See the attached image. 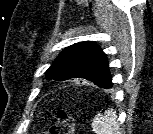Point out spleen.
Segmentation results:
<instances>
[{
    "instance_id": "1",
    "label": "spleen",
    "mask_w": 153,
    "mask_h": 134,
    "mask_svg": "<svg viewBox=\"0 0 153 134\" xmlns=\"http://www.w3.org/2000/svg\"><path fill=\"white\" fill-rule=\"evenodd\" d=\"M91 127L95 134H119L116 111L110 108L103 114L98 113L94 117Z\"/></svg>"
}]
</instances>
